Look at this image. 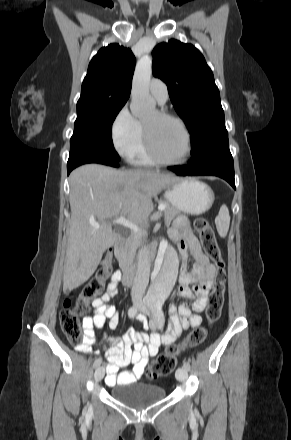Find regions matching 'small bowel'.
Instances as JSON below:
<instances>
[{"label": "small bowel", "instance_id": "c3829d8e", "mask_svg": "<svg viewBox=\"0 0 291 440\" xmlns=\"http://www.w3.org/2000/svg\"><path fill=\"white\" fill-rule=\"evenodd\" d=\"M170 240L178 246L183 262H186L191 254L195 264L191 271L182 266L179 276L177 295L193 300L191 307L183 304L178 308L175 304L168 305L170 318V330L163 335L152 331L150 334L139 333L129 329L120 338H109V347L106 351L107 375L106 384L109 386L121 385L143 375L152 357H155L162 345H167L177 340L183 329L197 327L202 323L198 314L208 304V288L215 275V267L209 257L204 254L185 218L177 219L168 230ZM122 274L120 271L114 273L110 280L107 291L101 297L93 301L94 312L92 316L83 320V342L75 348L78 351L88 352L95 343L96 329L101 328L106 319L111 330L119 325V317L113 306L106 303L110 296L116 293ZM194 284L190 289L189 285ZM137 319L144 325L146 318L138 315ZM133 364V370L128 371L126 367Z\"/></svg>", "mask_w": 291, "mask_h": 440}]
</instances>
